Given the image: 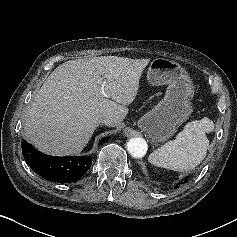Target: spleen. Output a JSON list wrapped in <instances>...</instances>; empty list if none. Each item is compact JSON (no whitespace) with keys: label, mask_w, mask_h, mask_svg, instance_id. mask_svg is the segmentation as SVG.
Here are the masks:
<instances>
[{"label":"spleen","mask_w":237,"mask_h":237,"mask_svg":"<svg viewBox=\"0 0 237 237\" xmlns=\"http://www.w3.org/2000/svg\"><path fill=\"white\" fill-rule=\"evenodd\" d=\"M214 130V123L207 117L186 124L176 139L153 151L151 164L174 171L191 170L206 157L209 140L206 133Z\"/></svg>","instance_id":"obj_1"}]
</instances>
